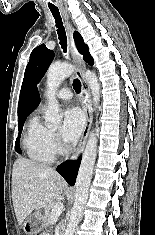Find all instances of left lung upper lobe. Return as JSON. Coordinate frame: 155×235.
Wrapping results in <instances>:
<instances>
[{
	"label": "left lung upper lobe",
	"mask_w": 155,
	"mask_h": 235,
	"mask_svg": "<svg viewBox=\"0 0 155 235\" xmlns=\"http://www.w3.org/2000/svg\"><path fill=\"white\" fill-rule=\"evenodd\" d=\"M74 40L79 52L84 55V60L90 65H93L94 60L88 52V47L84 44L81 35L77 31L74 32ZM53 58L54 52L49 50L44 44L36 47L31 52L30 61L27 64L21 87L20 99L29 90L31 85L40 81L51 64Z\"/></svg>",
	"instance_id": "1"
}]
</instances>
